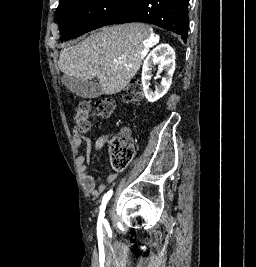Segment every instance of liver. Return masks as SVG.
Here are the masks:
<instances>
[{"label": "liver", "mask_w": 256, "mask_h": 267, "mask_svg": "<svg viewBox=\"0 0 256 267\" xmlns=\"http://www.w3.org/2000/svg\"><path fill=\"white\" fill-rule=\"evenodd\" d=\"M146 32L145 24L104 26L76 46L61 50L58 68L86 82L97 78L102 94H117L142 64Z\"/></svg>", "instance_id": "obj_1"}]
</instances>
